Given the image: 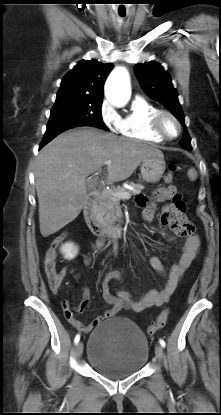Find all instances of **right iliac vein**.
Listing matches in <instances>:
<instances>
[{
  "label": "right iliac vein",
  "instance_id": "right-iliac-vein-1",
  "mask_svg": "<svg viewBox=\"0 0 221 415\" xmlns=\"http://www.w3.org/2000/svg\"><path fill=\"white\" fill-rule=\"evenodd\" d=\"M83 349H84L83 343L82 342H78L77 345H76V355L78 357H81V355L83 353Z\"/></svg>",
  "mask_w": 221,
  "mask_h": 415
}]
</instances>
